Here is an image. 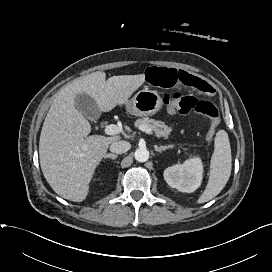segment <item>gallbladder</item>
Returning a JSON list of instances; mask_svg holds the SVG:
<instances>
[{
  "instance_id": "1",
  "label": "gallbladder",
  "mask_w": 272,
  "mask_h": 272,
  "mask_svg": "<svg viewBox=\"0 0 272 272\" xmlns=\"http://www.w3.org/2000/svg\"><path fill=\"white\" fill-rule=\"evenodd\" d=\"M76 108L88 119L95 120L100 115L96 102L87 94H79L75 99Z\"/></svg>"
}]
</instances>
